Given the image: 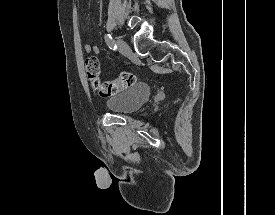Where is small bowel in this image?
<instances>
[{"instance_id": "small-bowel-1", "label": "small bowel", "mask_w": 275, "mask_h": 215, "mask_svg": "<svg viewBox=\"0 0 275 215\" xmlns=\"http://www.w3.org/2000/svg\"><path fill=\"white\" fill-rule=\"evenodd\" d=\"M84 51L86 53H90V52H95V53H99V49L96 45L90 44V43H86L84 45Z\"/></svg>"}]
</instances>
